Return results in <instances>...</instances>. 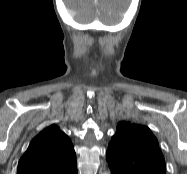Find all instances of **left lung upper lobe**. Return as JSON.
<instances>
[{"instance_id": "obj_1", "label": "left lung upper lobe", "mask_w": 187, "mask_h": 174, "mask_svg": "<svg viewBox=\"0 0 187 174\" xmlns=\"http://www.w3.org/2000/svg\"><path fill=\"white\" fill-rule=\"evenodd\" d=\"M112 174H165L156 137L146 126L120 122L106 152Z\"/></svg>"}]
</instances>
